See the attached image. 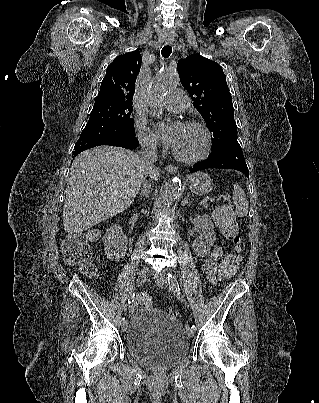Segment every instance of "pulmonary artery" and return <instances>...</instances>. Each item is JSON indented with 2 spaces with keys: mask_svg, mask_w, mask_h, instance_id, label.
Here are the masks:
<instances>
[{
  "mask_svg": "<svg viewBox=\"0 0 319 403\" xmlns=\"http://www.w3.org/2000/svg\"><path fill=\"white\" fill-rule=\"evenodd\" d=\"M164 104L172 109L181 111L189 107V98L181 89H175L166 95Z\"/></svg>",
  "mask_w": 319,
  "mask_h": 403,
  "instance_id": "1",
  "label": "pulmonary artery"
}]
</instances>
